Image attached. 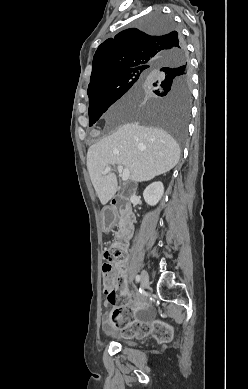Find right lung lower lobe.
Returning a JSON list of instances; mask_svg holds the SVG:
<instances>
[{
  "mask_svg": "<svg viewBox=\"0 0 248 389\" xmlns=\"http://www.w3.org/2000/svg\"><path fill=\"white\" fill-rule=\"evenodd\" d=\"M182 45H183V42H182V40L180 39L179 46L182 47ZM184 54H185V51L182 50V51L179 52L177 55H178V56H182V55H184Z\"/></svg>",
  "mask_w": 248,
  "mask_h": 389,
  "instance_id": "right-lung-lower-lobe-1",
  "label": "right lung lower lobe"
}]
</instances>
